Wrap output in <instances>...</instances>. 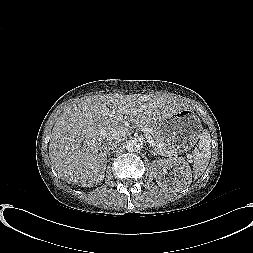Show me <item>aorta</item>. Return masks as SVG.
Here are the masks:
<instances>
[{
    "label": "aorta",
    "instance_id": "aorta-1",
    "mask_svg": "<svg viewBox=\"0 0 253 253\" xmlns=\"http://www.w3.org/2000/svg\"><path fill=\"white\" fill-rule=\"evenodd\" d=\"M140 149V145L139 143H137L136 140H129L127 143H126V150L128 152H136Z\"/></svg>",
    "mask_w": 253,
    "mask_h": 253
}]
</instances>
